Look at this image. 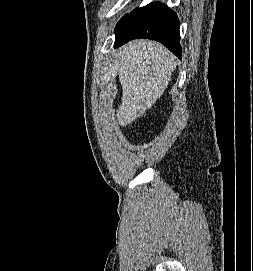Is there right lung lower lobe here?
<instances>
[{"instance_id": "98d812e1", "label": "right lung lower lobe", "mask_w": 253, "mask_h": 271, "mask_svg": "<svg viewBox=\"0 0 253 271\" xmlns=\"http://www.w3.org/2000/svg\"><path fill=\"white\" fill-rule=\"evenodd\" d=\"M115 48L136 38L161 42L177 57H182L179 44V20L175 12L161 3H151L126 15L115 30Z\"/></svg>"}]
</instances>
